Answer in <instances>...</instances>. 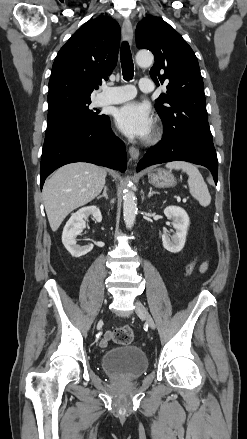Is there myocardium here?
<instances>
[{
	"mask_svg": "<svg viewBox=\"0 0 247 439\" xmlns=\"http://www.w3.org/2000/svg\"><path fill=\"white\" fill-rule=\"evenodd\" d=\"M161 135H162L161 129L159 127H156V129L154 130L153 134L151 135L148 141L150 143H154L161 138Z\"/></svg>",
	"mask_w": 247,
	"mask_h": 439,
	"instance_id": "1",
	"label": "myocardium"
}]
</instances>
